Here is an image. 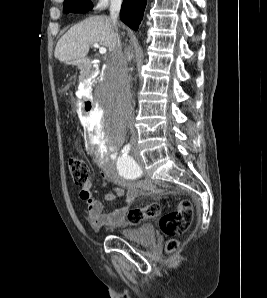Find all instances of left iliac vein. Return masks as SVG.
Wrapping results in <instances>:
<instances>
[{
  "mask_svg": "<svg viewBox=\"0 0 267 298\" xmlns=\"http://www.w3.org/2000/svg\"><path fill=\"white\" fill-rule=\"evenodd\" d=\"M133 152H134L136 158H137L138 160H140V158L138 157V154H137V149H136V147L133 149Z\"/></svg>",
  "mask_w": 267,
  "mask_h": 298,
  "instance_id": "obj_1",
  "label": "left iliac vein"
}]
</instances>
